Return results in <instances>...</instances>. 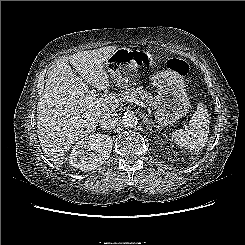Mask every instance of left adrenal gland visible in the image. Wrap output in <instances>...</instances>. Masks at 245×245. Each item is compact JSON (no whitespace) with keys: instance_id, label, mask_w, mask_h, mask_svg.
Returning a JSON list of instances; mask_svg holds the SVG:
<instances>
[{"instance_id":"obj_1","label":"left adrenal gland","mask_w":245,"mask_h":245,"mask_svg":"<svg viewBox=\"0 0 245 245\" xmlns=\"http://www.w3.org/2000/svg\"><path fill=\"white\" fill-rule=\"evenodd\" d=\"M143 121H144V123L146 124V128H147V129H148V127H149L150 125H152L153 127H155L154 122H153L151 119H148V118H147V115H143Z\"/></svg>"}]
</instances>
